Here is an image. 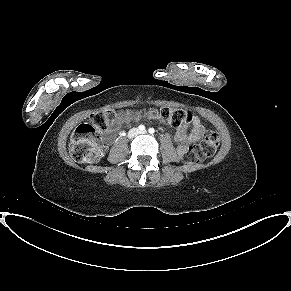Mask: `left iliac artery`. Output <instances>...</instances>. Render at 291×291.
Masks as SVG:
<instances>
[{
  "label": "left iliac artery",
  "instance_id": "44dca946",
  "mask_svg": "<svg viewBox=\"0 0 291 291\" xmlns=\"http://www.w3.org/2000/svg\"><path fill=\"white\" fill-rule=\"evenodd\" d=\"M148 131H149L150 134H153L155 132L154 128H149Z\"/></svg>",
  "mask_w": 291,
  "mask_h": 291
}]
</instances>
